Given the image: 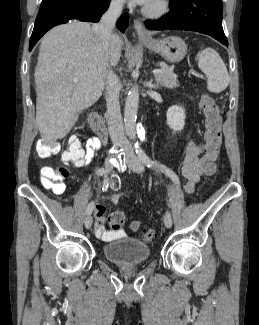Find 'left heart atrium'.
Segmentation results:
<instances>
[{
	"instance_id": "obj_1",
	"label": "left heart atrium",
	"mask_w": 259,
	"mask_h": 325,
	"mask_svg": "<svg viewBox=\"0 0 259 325\" xmlns=\"http://www.w3.org/2000/svg\"><path fill=\"white\" fill-rule=\"evenodd\" d=\"M138 4L149 5L153 0H133Z\"/></svg>"
}]
</instances>
